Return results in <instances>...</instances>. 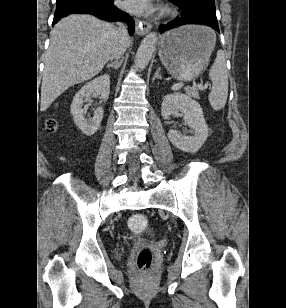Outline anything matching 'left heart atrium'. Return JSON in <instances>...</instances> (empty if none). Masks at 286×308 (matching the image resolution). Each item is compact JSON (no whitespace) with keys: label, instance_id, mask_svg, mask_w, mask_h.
<instances>
[{"label":"left heart atrium","instance_id":"obj_1","mask_svg":"<svg viewBox=\"0 0 286 308\" xmlns=\"http://www.w3.org/2000/svg\"><path fill=\"white\" fill-rule=\"evenodd\" d=\"M124 7L136 14L147 13L151 9L150 0H125Z\"/></svg>","mask_w":286,"mask_h":308}]
</instances>
